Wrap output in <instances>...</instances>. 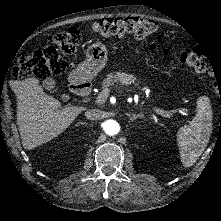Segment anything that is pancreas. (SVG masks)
<instances>
[{"label":"pancreas","instance_id":"obj_1","mask_svg":"<svg viewBox=\"0 0 221 221\" xmlns=\"http://www.w3.org/2000/svg\"><path fill=\"white\" fill-rule=\"evenodd\" d=\"M128 81V75L126 73L117 72L116 74L110 73L102 82V89L105 87H113L115 83L123 84Z\"/></svg>","mask_w":221,"mask_h":221}]
</instances>
